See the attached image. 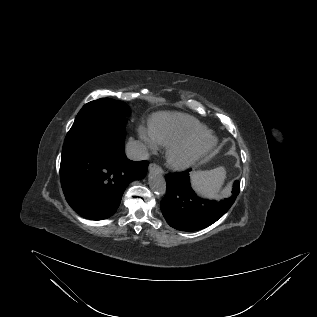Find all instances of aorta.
Segmentation results:
<instances>
[{
    "mask_svg": "<svg viewBox=\"0 0 317 317\" xmlns=\"http://www.w3.org/2000/svg\"><path fill=\"white\" fill-rule=\"evenodd\" d=\"M149 186L155 194L160 196L165 194L166 181L158 168H154L149 172Z\"/></svg>",
    "mask_w": 317,
    "mask_h": 317,
    "instance_id": "aorta-1",
    "label": "aorta"
}]
</instances>
